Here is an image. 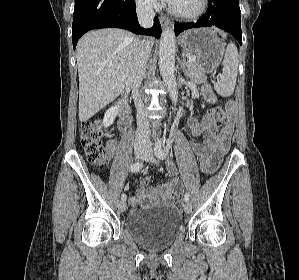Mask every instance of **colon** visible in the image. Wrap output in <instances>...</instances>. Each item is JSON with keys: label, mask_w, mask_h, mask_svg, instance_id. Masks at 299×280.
Segmentation results:
<instances>
[{"label": "colon", "mask_w": 299, "mask_h": 280, "mask_svg": "<svg viewBox=\"0 0 299 280\" xmlns=\"http://www.w3.org/2000/svg\"><path fill=\"white\" fill-rule=\"evenodd\" d=\"M208 118L220 127L225 121V112L221 107H214L208 114ZM102 131L99 123L94 121H85L80 126V143L86 154L89 163L96 166H102L106 163L108 156L103 148ZM200 166L203 171L207 172L209 161L206 158L200 159ZM175 209L181 211L183 203L177 201Z\"/></svg>", "instance_id": "5ec220e1"}]
</instances>
